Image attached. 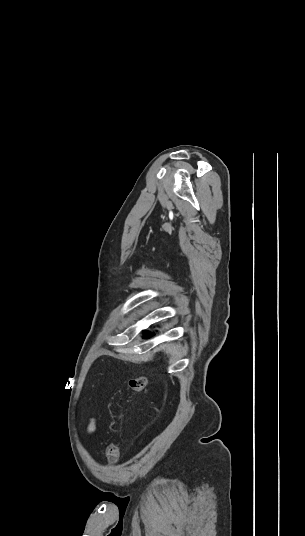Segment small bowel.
Here are the masks:
<instances>
[{"mask_svg": "<svg viewBox=\"0 0 305 536\" xmlns=\"http://www.w3.org/2000/svg\"><path fill=\"white\" fill-rule=\"evenodd\" d=\"M94 430H95V424H94V422H91L89 427H88V431L89 432H94Z\"/></svg>", "mask_w": 305, "mask_h": 536, "instance_id": "obj_1", "label": "small bowel"}]
</instances>
